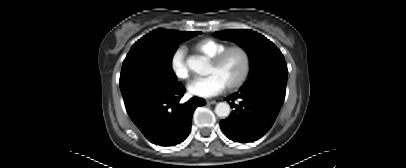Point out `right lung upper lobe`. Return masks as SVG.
I'll return each instance as SVG.
<instances>
[{"label": "right lung upper lobe", "instance_id": "obj_1", "mask_svg": "<svg viewBox=\"0 0 406 168\" xmlns=\"http://www.w3.org/2000/svg\"><path fill=\"white\" fill-rule=\"evenodd\" d=\"M191 32H179V31H172V30H166V29H156L147 34L148 36L152 35H168L172 37H177V38H184L190 35Z\"/></svg>", "mask_w": 406, "mask_h": 168}]
</instances>
